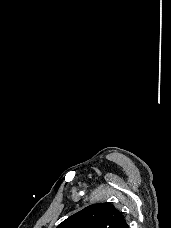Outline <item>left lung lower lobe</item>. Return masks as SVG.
Instances as JSON below:
<instances>
[{
    "label": "left lung lower lobe",
    "mask_w": 171,
    "mask_h": 228,
    "mask_svg": "<svg viewBox=\"0 0 171 228\" xmlns=\"http://www.w3.org/2000/svg\"><path fill=\"white\" fill-rule=\"evenodd\" d=\"M122 228H129L128 224L126 223Z\"/></svg>",
    "instance_id": "left-lung-lower-lobe-1"
}]
</instances>
